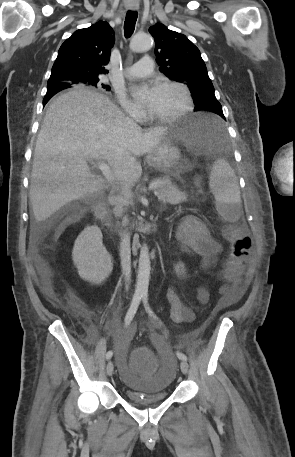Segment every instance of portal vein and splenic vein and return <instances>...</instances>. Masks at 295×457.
Instances as JSON below:
<instances>
[{"label": "portal vein and splenic vein", "instance_id": "obj_1", "mask_svg": "<svg viewBox=\"0 0 295 457\" xmlns=\"http://www.w3.org/2000/svg\"><path fill=\"white\" fill-rule=\"evenodd\" d=\"M97 164H98L99 169L102 171L103 175L106 177V179L112 183L115 179H114L110 166L103 161H99ZM159 184H160V182L151 183L149 185V190L156 189Z\"/></svg>", "mask_w": 295, "mask_h": 457}]
</instances>
